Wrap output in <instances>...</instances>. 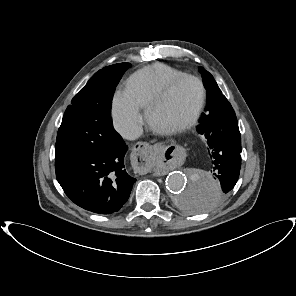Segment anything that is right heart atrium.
<instances>
[{"label": "right heart atrium", "mask_w": 296, "mask_h": 296, "mask_svg": "<svg viewBox=\"0 0 296 296\" xmlns=\"http://www.w3.org/2000/svg\"><path fill=\"white\" fill-rule=\"evenodd\" d=\"M112 118L117 131L125 138H133L143 122L141 108L127 91H116L112 99Z\"/></svg>", "instance_id": "right-heart-atrium-1"}]
</instances>
